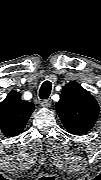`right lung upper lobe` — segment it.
I'll return each instance as SVG.
<instances>
[{
  "instance_id": "1",
  "label": "right lung upper lobe",
  "mask_w": 101,
  "mask_h": 180,
  "mask_svg": "<svg viewBox=\"0 0 101 180\" xmlns=\"http://www.w3.org/2000/svg\"><path fill=\"white\" fill-rule=\"evenodd\" d=\"M33 103L21 99V94L12 90L0 104V129L6 136L18 135L25 128L34 111Z\"/></svg>"
}]
</instances>
